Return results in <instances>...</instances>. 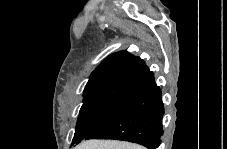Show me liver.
Returning a JSON list of instances; mask_svg holds the SVG:
<instances>
[{
  "label": "liver",
  "mask_w": 227,
  "mask_h": 149,
  "mask_svg": "<svg viewBox=\"0 0 227 149\" xmlns=\"http://www.w3.org/2000/svg\"><path fill=\"white\" fill-rule=\"evenodd\" d=\"M78 149H144L140 145L114 141V140H89L78 146Z\"/></svg>",
  "instance_id": "6515ba94"
}]
</instances>
